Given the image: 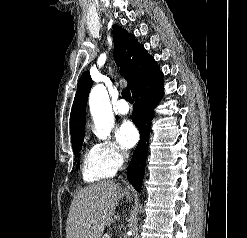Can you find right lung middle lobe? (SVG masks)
Listing matches in <instances>:
<instances>
[{
    "label": "right lung middle lobe",
    "mask_w": 247,
    "mask_h": 238,
    "mask_svg": "<svg viewBox=\"0 0 247 238\" xmlns=\"http://www.w3.org/2000/svg\"><path fill=\"white\" fill-rule=\"evenodd\" d=\"M82 144H83V139L75 142L72 144L73 146V151L75 152L76 156L79 157V152L81 151V148H82ZM78 165H79V162H78Z\"/></svg>",
    "instance_id": "dd1d6c3e"
}]
</instances>
